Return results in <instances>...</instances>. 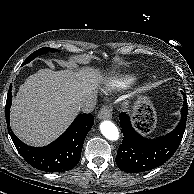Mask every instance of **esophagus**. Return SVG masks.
Returning a JSON list of instances; mask_svg holds the SVG:
<instances>
[{"mask_svg":"<svg viewBox=\"0 0 194 194\" xmlns=\"http://www.w3.org/2000/svg\"><path fill=\"white\" fill-rule=\"evenodd\" d=\"M98 118L100 120L104 119H111L112 118V111L109 106H104L98 113Z\"/></svg>","mask_w":194,"mask_h":194,"instance_id":"obj_1","label":"esophagus"}]
</instances>
